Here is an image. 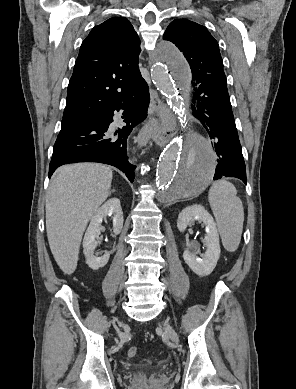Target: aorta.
Masks as SVG:
<instances>
[{
	"label": "aorta",
	"instance_id": "762f6f07",
	"mask_svg": "<svg viewBox=\"0 0 296 389\" xmlns=\"http://www.w3.org/2000/svg\"><path fill=\"white\" fill-rule=\"evenodd\" d=\"M151 76L157 88L167 97L168 106L183 122L182 99L190 106L197 86L191 83L190 69L184 56L172 43L161 42L157 46ZM215 167L211 145L197 134H186L183 139L173 140L164 149L157 165L156 185L161 200L198 194L213 178Z\"/></svg>",
	"mask_w": 296,
	"mask_h": 389
}]
</instances>
